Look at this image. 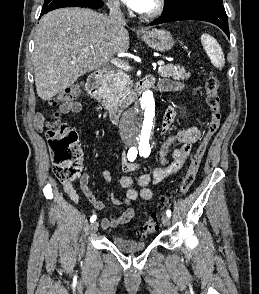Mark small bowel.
Returning <instances> with one entry per match:
<instances>
[{
    "instance_id": "obj_1",
    "label": "small bowel",
    "mask_w": 259,
    "mask_h": 294,
    "mask_svg": "<svg viewBox=\"0 0 259 294\" xmlns=\"http://www.w3.org/2000/svg\"><path fill=\"white\" fill-rule=\"evenodd\" d=\"M183 88V84L178 81L170 79H161L158 82V90L161 92L178 91ZM60 111L64 114L77 113L81 110V106L78 102L64 103L60 105ZM176 116V108L174 106L168 107L165 111L161 124L162 141L158 153V159L162 168L153 170L151 172H145L138 176L136 181L132 177V173L135 172L137 165L128 159L126 155L122 159L123 175L119 179V184L122 188L126 189L125 197L120 199L113 197L112 202L115 205H129L132 201L141 199L143 201H151L154 198V192L150 187L151 184H158L168 176L177 173L185 164L188 156L190 155L192 145L196 143L201 136L200 129L196 126L182 129L179 131H171L172 123ZM44 125V116L41 113L36 114L34 118V127L37 131L41 132ZM180 144L179 148L174 145ZM171 155L172 162L170 165L165 166L167 163V156ZM102 177L104 181L111 182L113 180L112 172L108 169L102 171ZM89 176L87 173H83L80 177V188L88 199V201L97 210L104 209L105 205L102 201L96 199L88 187ZM63 189L66 194L75 203L79 200V195L69 182L63 183ZM134 217V210L128 207L119 216L111 215L102 219L101 226L103 229H111L120 225L127 224Z\"/></svg>"
}]
</instances>
